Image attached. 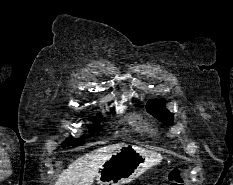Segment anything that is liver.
Segmentation results:
<instances>
[{"mask_svg": "<svg viewBox=\"0 0 233 185\" xmlns=\"http://www.w3.org/2000/svg\"><path fill=\"white\" fill-rule=\"evenodd\" d=\"M124 146L111 144L80 156L61 172L55 185H92L102 164Z\"/></svg>", "mask_w": 233, "mask_h": 185, "instance_id": "liver-1", "label": "liver"}]
</instances>
